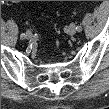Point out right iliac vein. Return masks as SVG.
Returning a JSON list of instances; mask_svg holds the SVG:
<instances>
[{"label": "right iliac vein", "mask_w": 109, "mask_h": 109, "mask_svg": "<svg viewBox=\"0 0 109 109\" xmlns=\"http://www.w3.org/2000/svg\"><path fill=\"white\" fill-rule=\"evenodd\" d=\"M26 39H31L32 38V33L30 31H27L25 34Z\"/></svg>", "instance_id": "right-iliac-vein-1"}]
</instances>
